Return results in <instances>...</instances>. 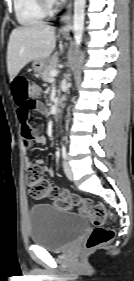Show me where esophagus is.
Listing matches in <instances>:
<instances>
[{
    "mask_svg": "<svg viewBox=\"0 0 134 281\" xmlns=\"http://www.w3.org/2000/svg\"><path fill=\"white\" fill-rule=\"evenodd\" d=\"M72 0L69 1L66 7L65 13L61 16L62 25L59 31L62 33H68L71 30V14H72Z\"/></svg>",
    "mask_w": 134,
    "mask_h": 281,
    "instance_id": "obj_1",
    "label": "esophagus"
}]
</instances>
